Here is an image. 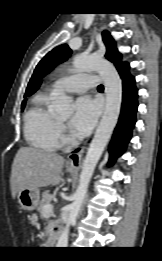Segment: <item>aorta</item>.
Instances as JSON below:
<instances>
[{
  "label": "aorta",
  "mask_w": 162,
  "mask_h": 261,
  "mask_svg": "<svg viewBox=\"0 0 162 261\" xmlns=\"http://www.w3.org/2000/svg\"><path fill=\"white\" fill-rule=\"evenodd\" d=\"M73 68L75 72L94 70L100 74L105 87L106 106L84 159L79 185L74 194V201L69 207L68 220L57 242L58 248H66L68 245L70 226L78 217L96 164L116 126L122 103V82L117 70L109 61L93 55H77L73 59ZM71 102L70 97L60 94L53 102L52 108L58 113L67 114L70 112Z\"/></svg>",
  "instance_id": "obj_1"
}]
</instances>
